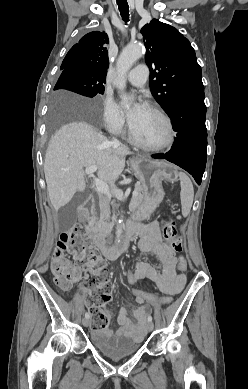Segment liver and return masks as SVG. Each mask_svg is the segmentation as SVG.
Instances as JSON below:
<instances>
[{"instance_id":"6515ba94","label":"liver","mask_w":248,"mask_h":389,"mask_svg":"<svg viewBox=\"0 0 248 389\" xmlns=\"http://www.w3.org/2000/svg\"><path fill=\"white\" fill-rule=\"evenodd\" d=\"M56 101L68 104H89L66 93L56 94ZM131 151L114 146L106 137L86 122L76 121L62 126L48 145L44 173L51 204L58 211L69 203L76 192L86 188L84 167L96 165L98 176L114 181L122 173L125 158Z\"/></svg>"}]
</instances>
